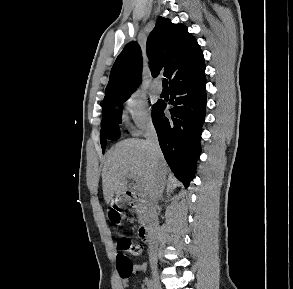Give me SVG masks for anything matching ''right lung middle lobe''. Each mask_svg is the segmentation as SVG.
Wrapping results in <instances>:
<instances>
[{"label":"right lung middle lobe","mask_w":293,"mask_h":289,"mask_svg":"<svg viewBox=\"0 0 293 289\" xmlns=\"http://www.w3.org/2000/svg\"><path fill=\"white\" fill-rule=\"evenodd\" d=\"M128 97L129 95L119 96V97L112 98L108 100L107 102L103 103L101 137H100V142H101L103 152L106 147L107 139L117 140L120 136L119 124L122 122V116L119 113L112 112V110L116 105L125 102L128 99ZM155 105H153L152 109L155 107Z\"/></svg>","instance_id":"dd1d6c3e"}]
</instances>
